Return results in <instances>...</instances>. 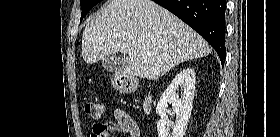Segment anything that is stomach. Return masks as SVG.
<instances>
[{
    "instance_id": "stomach-1",
    "label": "stomach",
    "mask_w": 280,
    "mask_h": 137,
    "mask_svg": "<svg viewBox=\"0 0 280 137\" xmlns=\"http://www.w3.org/2000/svg\"><path fill=\"white\" fill-rule=\"evenodd\" d=\"M122 81H118V83H114V86L117 88V89H119V90H121V91H124V90H126L127 89V87H128V85L127 84H124V83H121Z\"/></svg>"
}]
</instances>
